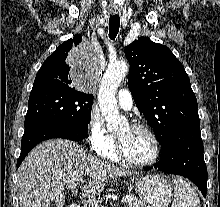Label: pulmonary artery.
<instances>
[{
  "label": "pulmonary artery",
  "instance_id": "obj_1",
  "mask_svg": "<svg viewBox=\"0 0 220 207\" xmlns=\"http://www.w3.org/2000/svg\"><path fill=\"white\" fill-rule=\"evenodd\" d=\"M117 101L121 108L130 110L133 106V98L128 89H120L117 94Z\"/></svg>",
  "mask_w": 220,
  "mask_h": 207
}]
</instances>
